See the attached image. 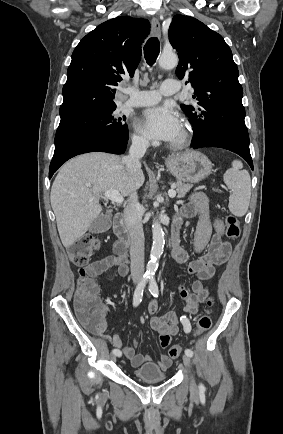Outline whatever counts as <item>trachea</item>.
Returning <instances> with one entry per match:
<instances>
[{"instance_id": "3493384b", "label": "trachea", "mask_w": 283, "mask_h": 434, "mask_svg": "<svg viewBox=\"0 0 283 434\" xmlns=\"http://www.w3.org/2000/svg\"><path fill=\"white\" fill-rule=\"evenodd\" d=\"M160 52V43L157 37H151L148 39L144 46V56L149 66H152Z\"/></svg>"}]
</instances>
